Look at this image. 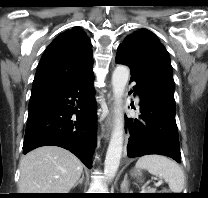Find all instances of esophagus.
Segmentation results:
<instances>
[{
    "instance_id": "1",
    "label": "esophagus",
    "mask_w": 208,
    "mask_h": 198,
    "mask_svg": "<svg viewBox=\"0 0 208 198\" xmlns=\"http://www.w3.org/2000/svg\"><path fill=\"white\" fill-rule=\"evenodd\" d=\"M105 126H106L105 138H108L109 133L111 132V129L113 127V113L112 112H111L110 116L107 118V120L105 122Z\"/></svg>"
}]
</instances>
